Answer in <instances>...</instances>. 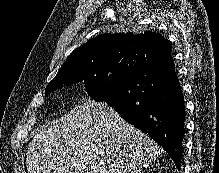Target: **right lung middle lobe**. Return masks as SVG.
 <instances>
[{
	"mask_svg": "<svg viewBox=\"0 0 219 173\" xmlns=\"http://www.w3.org/2000/svg\"><path fill=\"white\" fill-rule=\"evenodd\" d=\"M136 66L132 63H114L103 65L86 74L63 73L57 77L50 86L46 87L45 95L74 83L83 81L87 93L95 100L105 102L120 80L128 73L132 72Z\"/></svg>",
	"mask_w": 219,
	"mask_h": 173,
	"instance_id": "right-lung-middle-lobe-1",
	"label": "right lung middle lobe"
}]
</instances>
